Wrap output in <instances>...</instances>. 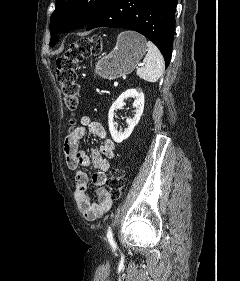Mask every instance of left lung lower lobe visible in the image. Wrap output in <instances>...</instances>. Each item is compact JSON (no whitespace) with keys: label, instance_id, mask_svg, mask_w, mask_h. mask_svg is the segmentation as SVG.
<instances>
[{"label":"left lung lower lobe","instance_id":"1","mask_svg":"<svg viewBox=\"0 0 240 281\" xmlns=\"http://www.w3.org/2000/svg\"><path fill=\"white\" fill-rule=\"evenodd\" d=\"M177 0H107L88 24L96 27L126 28L150 39L161 51L168 66L174 38Z\"/></svg>","mask_w":240,"mask_h":281}]
</instances>
